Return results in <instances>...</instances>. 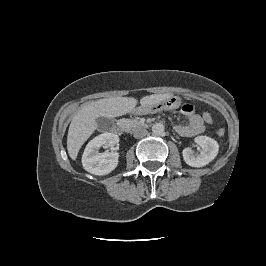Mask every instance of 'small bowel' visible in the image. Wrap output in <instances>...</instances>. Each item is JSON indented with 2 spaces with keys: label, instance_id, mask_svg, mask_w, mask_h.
I'll list each match as a JSON object with an SVG mask.
<instances>
[{
  "label": "small bowel",
  "instance_id": "1",
  "mask_svg": "<svg viewBox=\"0 0 266 266\" xmlns=\"http://www.w3.org/2000/svg\"><path fill=\"white\" fill-rule=\"evenodd\" d=\"M180 113L187 118V124H178L175 126V131L185 137H193L204 130L203 119L197 114L195 107L190 103H185Z\"/></svg>",
  "mask_w": 266,
  "mask_h": 266
}]
</instances>
